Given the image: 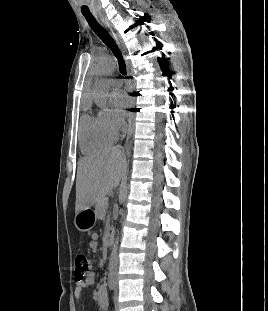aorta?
Returning <instances> with one entry per match:
<instances>
[{"label": "aorta", "instance_id": "1", "mask_svg": "<svg viewBox=\"0 0 268 311\" xmlns=\"http://www.w3.org/2000/svg\"><path fill=\"white\" fill-rule=\"evenodd\" d=\"M116 69L115 61L112 58H106L104 60L99 61L94 65V72L97 74L98 78L94 84V91L96 95L102 99H105L108 94V85L105 81V76L111 74ZM123 212V209H121ZM118 244H119V232L117 233V237L112 247V251L109 259V273L110 276L114 277L117 274L118 267Z\"/></svg>", "mask_w": 268, "mask_h": 311}]
</instances>
